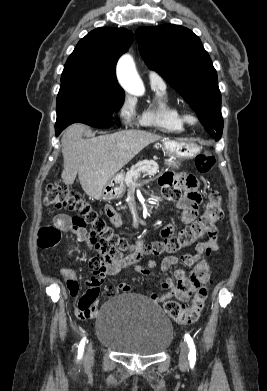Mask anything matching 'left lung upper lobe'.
<instances>
[{
  "label": "left lung upper lobe",
  "mask_w": 267,
  "mask_h": 391,
  "mask_svg": "<svg viewBox=\"0 0 267 391\" xmlns=\"http://www.w3.org/2000/svg\"><path fill=\"white\" fill-rule=\"evenodd\" d=\"M135 36L147 66L185 99L219 140L223 129L221 93L216 70L199 37L173 24L140 27Z\"/></svg>",
  "instance_id": "left-lung-upper-lobe-1"
}]
</instances>
